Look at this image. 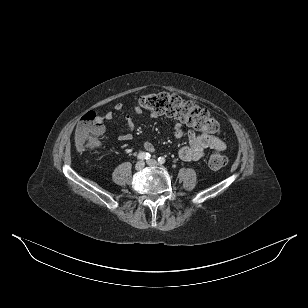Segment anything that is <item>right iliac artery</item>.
<instances>
[{
	"instance_id": "82829eb1",
	"label": "right iliac artery",
	"mask_w": 308,
	"mask_h": 308,
	"mask_svg": "<svg viewBox=\"0 0 308 308\" xmlns=\"http://www.w3.org/2000/svg\"><path fill=\"white\" fill-rule=\"evenodd\" d=\"M138 159L140 160H147L150 158V154L146 152H140L137 156Z\"/></svg>"
}]
</instances>
